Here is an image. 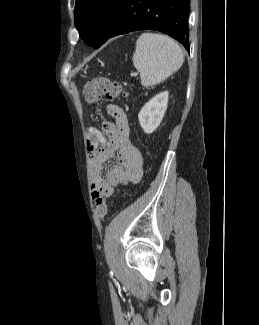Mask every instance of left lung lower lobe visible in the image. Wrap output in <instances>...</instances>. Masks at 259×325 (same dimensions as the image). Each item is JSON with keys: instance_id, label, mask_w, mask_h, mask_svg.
<instances>
[{"instance_id": "1", "label": "left lung lower lobe", "mask_w": 259, "mask_h": 325, "mask_svg": "<svg viewBox=\"0 0 259 325\" xmlns=\"http://www.w3.org/2000/svg\"><path fill=\"white\" fill-rule=\"evenodd\" d=\"M189 11L190 0H123L105 42L117 35L149 29L170 35L189 50Z\"/></svg>"}]
</instances>
